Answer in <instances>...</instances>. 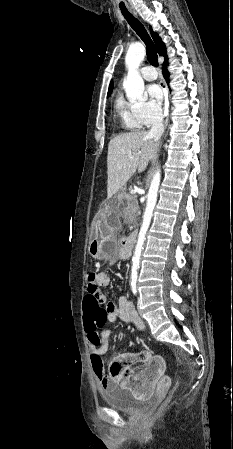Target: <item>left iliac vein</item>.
Listing matches in <instances>:
<instances>
[{
	"label": "left iliac vein",
	"mask_w": 233,
	"mask_h": 449,
	"mask_svg": "<svg viewBox=\"0 0 233 449\" xmlns=\"http://www.w3.org/2000/svg\"><path fill=\"white\" fill-rule=\"evenodd\" d=\"M139 304H140V297H138V307H139Z\"/></svg>",
	"instance_id": "obj_1"
}]
</instances>
